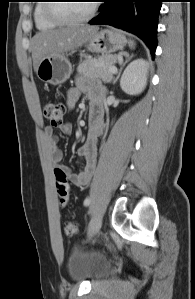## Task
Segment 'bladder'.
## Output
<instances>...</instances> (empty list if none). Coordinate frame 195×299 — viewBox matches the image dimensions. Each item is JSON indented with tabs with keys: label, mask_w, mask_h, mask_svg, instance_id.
<instances>
[{
	"label": "bladder",
	"mask_w": 195,
	"mask_h": 299,
	"mask_svg": "<svg viewBox=\"0 0 195 299\" xmlns=\"http://www.w3.org/2000/svg\"><path fill=\"white\" fill-rule=\"evenodd\" d=\"M68 272L75 281L95 280L107 274L108 262L101 254L76 246L68 259Z\"/></svg>",
	"instance_id": "obj_1"
}]
</instances>
